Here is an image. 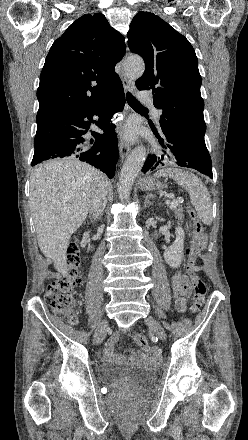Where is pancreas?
<instances>
[{
    "label": "pancreas",
    "instance_id": "1",
    "mask_svg": "<svg viewBox=\"0 0 248 440\" xmlns=\"http://www.w3.org/2000/svg\"><path fill=\"white\" fill-rule=\"evenodd\" d=\"M170 209L174 211L178 220H182L184 218L183 208L181 206H170Z\"/></svg>",
    "mask_w": 248,
    "mask_h": 440
}]
</instances>
